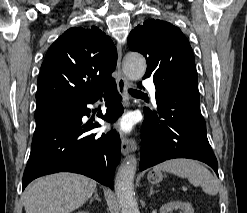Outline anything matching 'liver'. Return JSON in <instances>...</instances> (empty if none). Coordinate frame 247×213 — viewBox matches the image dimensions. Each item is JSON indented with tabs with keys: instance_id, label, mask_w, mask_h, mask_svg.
<instances>
[{
	"instance_id": "6515ba94",
	"label": "liver",
	"mask_w": 247,
	"mask_h": 213,
	"mask_svg": "<svg viewBox=\"0 0 247 213\" xmlns=\"http://www.w3.org/2000/svg\"><path fill=\"white\" fill-rule=\"evenodd\" d=\"M96 189V181L74 173L39 178L24 192L26 213H70L81 207Z\"/></svg>"
}]
</instances>
